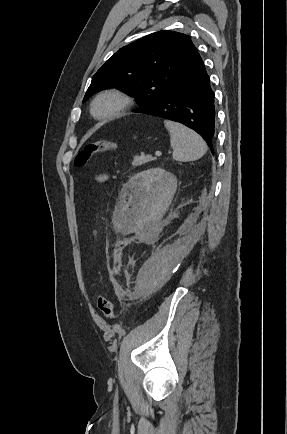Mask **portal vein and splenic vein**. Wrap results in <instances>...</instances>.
<instances>
[{
  "label": "portal vein and splenic vein",
  "mask_w": 287,
  "mask_h": 434,
  "mask_svg": "<svg viewBox=\"0 0 287 434\" xmlns=\"http://www.w3.org/2000/svg\"><path fill=\"white\" fill-rule=\"evenodd\" d=\"M161 155H162V153L160 151L155 152V156H161Z\"/></svg>",
  "instance_id": "obj_1"
}]
</instances>
